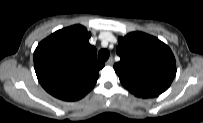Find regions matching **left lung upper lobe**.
I'll return each mask as SVG.
<instances>
[{
    "instance_id": "obj_1",
    "label": "left lung upper lobe",
    "mask_w": 203,
    "mask_h": 123,
    "mask_svg": "<svg viewBox=\"0 0 203 123\" xmlns=\"http://www.w3.org/2000/svg\"><path fill=\"white\" fill-rule=\"evenodd\" d=\"M114 65L122 85L135 96L155 97L166 91L176 75L171 49L158 38L143 32L119 37Z\"/></svg>"
}]
</instances>
